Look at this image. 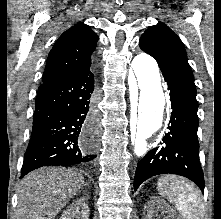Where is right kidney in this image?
<instances>
[{"label":"right kidney","instance_id":"obj_1","mask_svg":"<svg viewBox=\"0 0 221 219\" xmlns=\"http://www.w3.org/2000/svg\"><path fill=\"white\" fill-rule=\"evenodd\" d=\"M60 219H89V207L85 199L80 198L64 210Z\"/></svg>","mask_w":221,"mask_h":219}]
</instances>
